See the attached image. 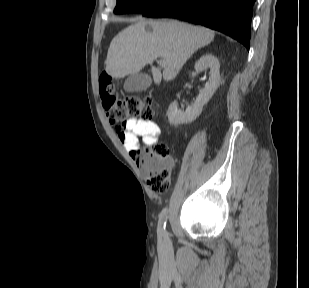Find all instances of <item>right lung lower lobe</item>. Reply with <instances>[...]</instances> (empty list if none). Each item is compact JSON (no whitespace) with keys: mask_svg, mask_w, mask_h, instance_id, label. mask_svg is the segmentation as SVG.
<instances>
[{"mask_svg":"<svg viewBox=\"0 0 309 288\" xmlns=\"http://www.w3.org/2000/svg\"><path fill=\"white\" fill-rule=\"evenodd\" d=\"M255 0H163L147 17L177 18L223 32L249 49Z\"/></svg>","mask_w":309,"mask_h":288,"instance_id":"obj_1","label":"right lung lower lobe"}]
</instances>
